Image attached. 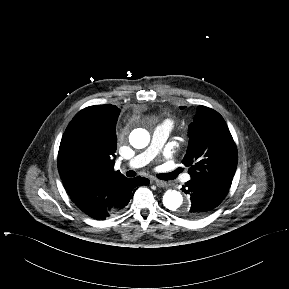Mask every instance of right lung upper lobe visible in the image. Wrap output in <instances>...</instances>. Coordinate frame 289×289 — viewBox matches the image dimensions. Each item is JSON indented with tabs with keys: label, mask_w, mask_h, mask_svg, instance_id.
<instances>
[{
	"label": "right lung upper lobe",
	"mask_w": 289,
	"mask_h": 289,
	"mask_svg": "<svg viewBox=\"0 0 289 289\" xmlns=\"http://www.w3.org/2000/svg\"><path fill=\"white\" fill-rule=\"evenodd\" d=\"M106 112L120 114L114 105L90 106L81 110L69 123L58 152V170L66 190L78 208L90 217L110 212L121 186L128 181L119 171H114L116 130L100 144L84 143L77 133L82 115L100 117Z\"/></svg>",
	"instance_id": "1"
}]
</instances>
